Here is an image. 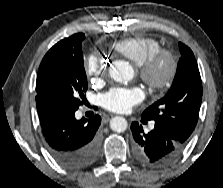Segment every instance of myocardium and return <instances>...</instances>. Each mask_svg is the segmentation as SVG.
<instances>
[{
	"mask_svg": "<svg viewBox=\"0 0 223 188\" xmlns=\"http://www.w3.org/2000/svg\"><path fill=\"white\" fill-rule=\"evenodd\" d=\"M163 63H166L164 71L161 70ZM178 67V58L173 51L159 49L143 61L138 70L140 78L150 89L164 91L173 84Z\"/></svg>",
	"mask_w": 223,
	"mask_h": 188,
	"instance_id": "f54148a6",
	"label": "myocardium"
}]
</instances>
